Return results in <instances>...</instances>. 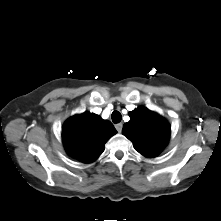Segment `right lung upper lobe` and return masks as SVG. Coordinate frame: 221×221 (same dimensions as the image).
Segmentation results:
<instances>
[{
	"mask_svg": "<svg viewBox=\"0 0 221 221\" xmlns=\"http://www.w3.org/2000/svg\"><path fill=\"white\" fill-rule=\"evenodd\" d=\"M116 133L110 121L90 112L71 117L62 128L67 153L83 163L96 160L104 151L107 140Z\"/></svg>",
	"mask_w": 221,
	"mask_h": 221,
	"instance_id": "obj_1",
	"label": "right lung upper lobe"
}]
</instances>
